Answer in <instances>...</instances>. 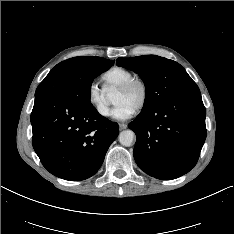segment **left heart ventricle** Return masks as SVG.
I'll list each match as a JSON object with an SVG mask.
<instances>
[{
  "label": "left heart ventricle",
  "instance_id": "left-heart-ventricle-1",
  "mask_svg": "<svg viewBox=\"0 0 234 234\" xmlns=\"http://www.w3.org/2000/svg\"><path fill=\"white\" fill-rule=\"evenodd\" d=\"M140 95L141 92L138 87H134L133 89H131L129 92L126 93L117 91L114 96L113 102L115 105L125 103L135 109V107L137 106L140 100Z\"/></svg>",
  "mask_w": 234,
  "mask_h": 234
}]
</instances>
